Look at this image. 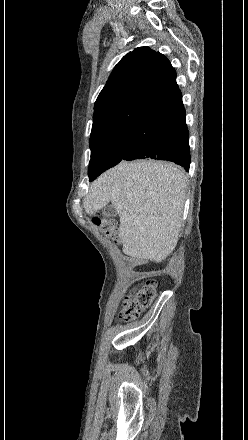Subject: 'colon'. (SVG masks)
I'll use <instances>...</instances> for the list:
<instances>
[{
	"label": "colon",
	"mask_w": 248,
	"mask_h": 440,
	"mask_svg": "<svg viewBox=\"0 0 248 440\" xmlns=\"http://www.w3.org/2000/svg\"><path fill=\"white\" fill-rule=\"evenodd\" d=\"M93 223L97 225L108 237L117 240L116 223L113 220L95 217ZM157 292L155 281H146L138 290L127 296L121 309V319L125 322L137 319L150 307Z\"/></svg>",
	"instance_id": "5ec220e1"
}]
</instances>
